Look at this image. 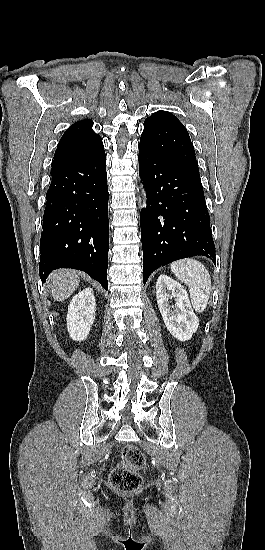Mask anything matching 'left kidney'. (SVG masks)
<instances>
[{"mask_svg":"<svg viewBox=\"0 0 265 550\" xmlns=\"http://www.w3.org/2000/svg\"><path fill=\"white\" fill-rule=\"evenodd\" d=\"M156 298L170 334L180 341L190 340L198 329L199 319L192 310L184 287L167 275H160L156 283ZM170 299L175 300L174 306L169 305Z\"/></svg>","mask_w":265,"mask_h":550,"instance_id":"obj_1","label":"left kidney"}]
</instances>
